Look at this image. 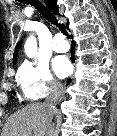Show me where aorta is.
<instances>
[{
	"instance_id": "762f6f07",
	"label": "aorta",
	"mask_w": 117,
	"mask_h": 136,
	"mask_svg": "<svg viewBox=\"0 0 117 136\" xmlns=\"http://www.w3.org/2000/svg\"><path fill=\"white\" fill-rule=\"evenodd\" d=\"M25 53L28 57H34L37 53V41L34 36H30L25 43Z\"/></svg>"
}]
</instances>
